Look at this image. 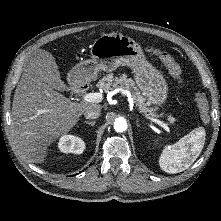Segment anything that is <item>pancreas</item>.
<instances>
[{"mask_svg": "<svg viewBox=\"0 0 221 221\" xmlns=\"http://www.w3.org/2000/svg\"><path fill=\"white\" fill-rule=\"evenodd\" d=\"M98 87L103 89L105 92H109L114 88L120 87L126 90L131 91L133 102L139 108L140 111L148 112L151 116H157L156 113L152 112L153 108H148L146 99L138 91V88L135 85V82L132 79H128L127 75L122 74L119 77H114L112 73L107 74L101 80H99ZM168 120L173 122L175 119L171 116L168 117Z\"/></svg>", "mask_w": 221, "mask_h": 221, "instance_id": "obj_1", "label": "pancreas"}]
</instances>
